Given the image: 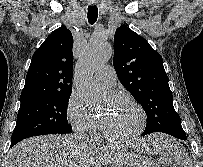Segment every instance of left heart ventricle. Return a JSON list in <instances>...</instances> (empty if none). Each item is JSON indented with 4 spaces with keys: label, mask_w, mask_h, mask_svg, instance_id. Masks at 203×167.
<instances>
[{
    "label": "left heart ventricle",
    "mask_w": 203,
    "mask_h": 167,
    "mask_svg": "<svg viewBox=\"0 0 203 167\" xmlns=\"http://www.w3.org/2000/svg\"><path fill=\"white\" fill-rule=\"evenodd\" d=\"M105 127L116 136L131 134L139 124V116L134 108L117 99L111 109L100 115Z\"/></svg>",
    "instance_id": "1"
}]
</instances>
